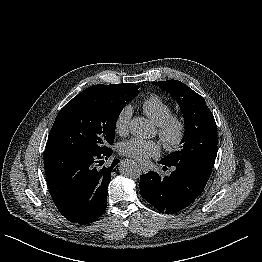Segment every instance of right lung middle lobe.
I'll return each instance as SVG.
<instances>
[{
    "mask_svg": "<svg viewBox=\"0 0 262 262\" xmlns=\"http://www.w3.org/2000/svg\"><path fill=\"white\" fill-rule=\"evenodd\" d=\"M139 86L128 83L118 91L93 85L70 100L51 128L46 150L105 152L115 138L120 112L139 94Z\"/></svg>",
    "mask_w": 262,
    "mask_h": 262,
    "instance_id": "obj_1",
    "label": "right lung middle lobe"
}]
</instances>
